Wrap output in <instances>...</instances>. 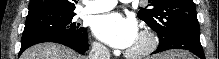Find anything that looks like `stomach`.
Listing matches in <instances>:
<instances>
[{
    "instance_id": "obj_1",
    "label": "stomach",
    "mask_w": 219,
    "mask_h": 59,
    "mask_svg": "<svg viewBox=\"0 0 219 59\" xmlns=\"http://www.w3.org/2000/svg\"><path fill=\"white\" fill-rule=\"evenodd\" d=\"M176 53L175 52H169L167 54H163L162 57L165 59H171L172 56H174Z\"/></svg>"
}]
</instances>
